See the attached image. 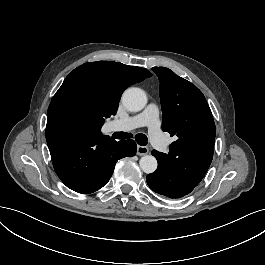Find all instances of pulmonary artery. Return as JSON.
<instances>
[{"label":"pulmonary artery","instance_id":"pulmonary-artery-1","mask_svg":"<svg viewBox=\"0 0 265 265\" xmlns=\"http://www.w3.org/2000/svg\"><path fill=\"white\" fill-rule=\"evenodd\" d=\"M158 118L159 106L156 103H149L141 114L135 117H122L114 121V130L117 133H124L126 130H141L144 127L155 130L159 127ZM149 137L154 147L159 148L164 145V138L159 131H152Z\"/></svg>","mask_w":265,"mask_h":265}]
</instances>
